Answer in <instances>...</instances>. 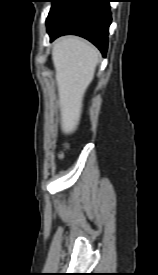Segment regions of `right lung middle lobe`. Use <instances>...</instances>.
I'll use <instances>...</instances> for the list:
<instances>
[{
  "label": "right lung middle lobe",
  "mask_w": 158,
  "mask_h": 275,
  "mask_svg": "<svg viewBox=\"0 0 158 275\" xmlns=\"http://www.w3.org/2000/svg\"><path fill=\"white\" fill-rule=\"evenodd\" d=\"M60 0H55L52 2V7H51V10L59 3ZM50 10V11H51Z\"/></svg>",
  "instance_id": "right-lung-middle-lobe-1"
}]
</instances>
